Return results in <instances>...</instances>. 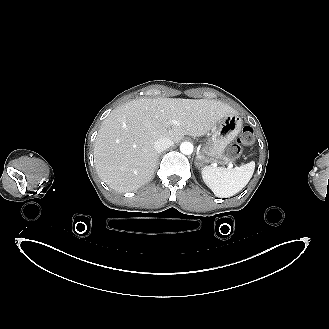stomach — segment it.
Here are the masks:
<instances>
[{
    "mask_svg": "<svg viewBox=\"0 0 329 329\" xmlns=\"http://www.w3.org/2000/svg\"><path fill=\"white\" fill-rule=\"evenodd\" d=\"M242 128V119L238 113L224 117L213 132L209 145L198 153L197 160L200 165L207 163L227 164L232 159L225 155L227 146L236 138Z\"/></svg>",
    "mask_w": 329,
    "mask_h": 329,
    "instance_id": "obj_1",
    "label": "stomach"
}]
</instances>
